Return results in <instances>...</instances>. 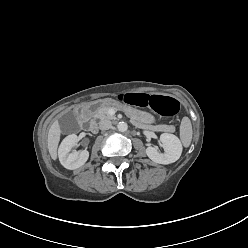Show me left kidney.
<instances>
[{
	"label": "left kidney",
	"instance_id": "5707ae66",
	"mask_svg": "<svg viewBox=\"0 0 248 248\" xmlns=\"http://www.w3.org/2000/svg\"><path fill=\"white\" fill-rule=\"evenodd\" d=\"M160 141L164 149L161 153L156 146L146 148L147 156L155 163L170 164L176 162L182 153V145L178 137L173 134L163 133Z\"/></svg>",
	"mask_w": 248,
	"mask_h": 248
}]
</instances>
